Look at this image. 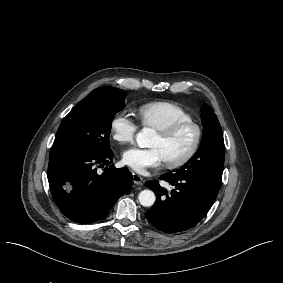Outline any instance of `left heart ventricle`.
I'll return each instance as SVG.
<instances>
[{
  "instance_id": "b2bd125f",
  "label": "left heart ventricle",
  "mask_w": 283,
  "mask_h": 283,
  "mask_svg": "<svg viewBox=\"0 0 283 283\" xmlns=\"http://www.w3.org/2000/svg\"><path fill=\"white\" fill-rule=\"evenodd\" d=\"M194 140L195 131L191 126H188L169 141H164L157 135L151 146L161 150L164 162L177 161L186 155L192 147Z\"/></svg>"
}]
</instances>
